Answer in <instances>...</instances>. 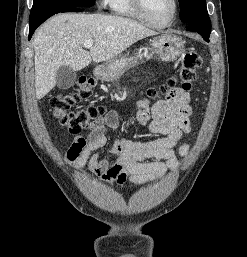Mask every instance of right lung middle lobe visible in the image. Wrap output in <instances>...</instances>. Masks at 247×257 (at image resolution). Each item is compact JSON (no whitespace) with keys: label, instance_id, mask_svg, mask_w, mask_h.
<instances>
[{"label":"right lung middle lobe","instance_id":"dd1d6c3e","mask_svg":"<svg viewBox=\"0 0 247 257\" xmlns=\"http://www.w3.org/2000/svg\"><path fill=\"white\" fill-rule=\"evenodd\" d=\"M94 0H34L30 18L53 9L93 6Z\"/></svg>","mask_w":247,"mask_h":257}]
</instances>
